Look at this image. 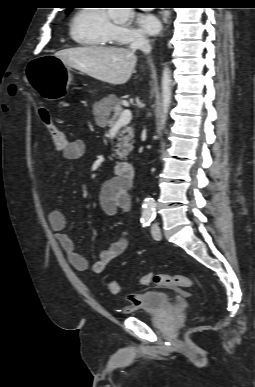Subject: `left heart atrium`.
I'll return each instance as SVG.
<instances>
[{
  "instance_id": "obj_1",
  "label": "left heart atrium",
  "mask_w": 255,
  "mask_h": 387,
  "mask_svg": "<svg viewBox=\"0 0 255 387\" xmlns=\"http://www.w3.org/2000/svg\"><path fill=\"white\" fill-rule=\"evenodd\" d=\"M139 29L148 35H156L161 29V23L153 14H139L137 16Z\"/></svg>"
}]
</instances>
